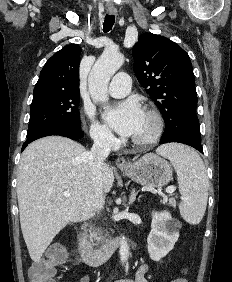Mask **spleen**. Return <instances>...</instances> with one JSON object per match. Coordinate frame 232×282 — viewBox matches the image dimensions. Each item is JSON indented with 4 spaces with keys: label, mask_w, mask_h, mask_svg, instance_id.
I'll return each mask as SVG.
<instances>
[{
    "label": "spleen",
    "mask_w": 232,
    "mask_h": 282,
    "mask_svg": "<svg viewBox=\"0 0 232 282\" xmlns=\"http://www.w3.org/2000/svg\"><path fill=\"white\" fill-rule=\"evenodd\" d=\"M157 153L168 158L177 173L182 195L181 216L190 224H198L204 216L208 199V178L202 159L193 149L181 144L161 146Z\"/></svg>",
    "instance_id": "3e777b00"
}]
</instances>
